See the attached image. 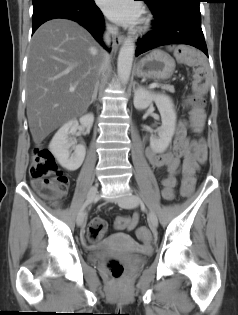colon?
Masks as SVG:
<instances>
[{
	"label": "colon",
	"instance_id": "1",
	"mask_svg": "<svg viewBox=\"0 0 238 315\" xmlns=\"http://www.w3.org/2000/svg\"><path fill=\"white\" fill-rule=\"evenodd\" d=\"M173 52L179 61L193 66L195 70L194 93L189 98V103L192 107L190 118L193 131L199 133L203 128L205 118L203 94L207 87V67L202 56L190 48L178 46L173 48ZM29 174L34 188L46 198L57 200L62 197L68 189L69 182L67 176L58 169L52 153L44 145H39L34 149ZM193 188V181L182 182V195H190ZM128 223L129 220L127 217L120 216L115 220V227L117 229H125ZM105 231V221L100 218H95L89 224L88 237L92 241L98 240L104 235ZM138 236L142 240H149L150 232L148 228H139ZM108 269L114 278H119L124 273L122 264L115 260L108 263Z\"/></svg>",
	"mask_w": 238,
	"mask_h": 315
}]
</instances>
